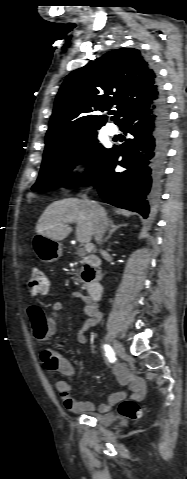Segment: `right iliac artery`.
Segmentation results:
<instances>
[{
	"instance_id": "82829eb1",
	"label": "right iliac artery",
	"mask_w": 187,
	"mask_h": 479,
	"mask_svg": "<svg viewBox=\"0 0 187 479\" xmlns=\"http://www.w3.org/2000/svg\"><path fill=\"white\" fill-rule=\"evenodd\" d=\"M104 350L106 352V356H107L108 360L113 363L116 360L115 353H114L113 349L109 345L106 344V345H104Z\"/></svg>"
}]
</instances>
